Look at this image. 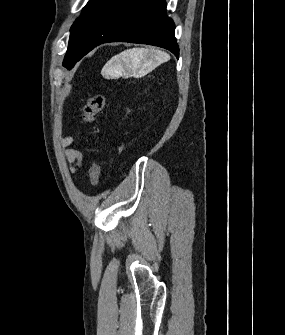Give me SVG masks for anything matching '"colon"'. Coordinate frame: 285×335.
I'll return each instance as SVG.
<instances>
[{"mask_svg":"<svg viewBox=\"0 0 285 335\" xmlns=\"http://www.w3.org/2000/svg\"><path fill=\"white\" fill-rule=\"evenodd\" d=\"M105 103V98L102 94H94L89 96L83 105L82 117L83 120L91 125L95 122L97 116L102 111ZM90 180L94 187L100 184V167L97 159L94 157L90 165Z\"/></svg>","mask_w":285,"mask_h":335,"instance_id":"obj_1","label":"colon"}]
</instances>
